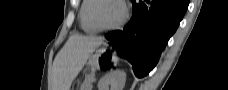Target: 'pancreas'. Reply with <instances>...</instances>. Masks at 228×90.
I'll list each match as a JSON object with an SVG mask.
<instances>
[{"label": "pancreas", "mask_w": 228, "mask_h": 90, "mask_svg": "<svg viewBox=\"0 0 228 90\" xmlns=\"http://www.w3.org/2000/svg\"><path fill=\"white\" fill-rule=\"evenodd\" d=\"M93 81H95L94 75L93 74L88 75L85 78V80L83 81V83L81 84L80 90H92V82Z\"/></svg>", "instance_id": "1"}]
</instances>
